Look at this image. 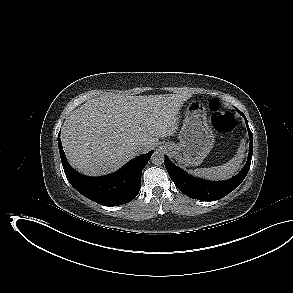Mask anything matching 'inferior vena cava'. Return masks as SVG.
<instances>
[{
  "label": "inferior vena cava",
  "instance_id": "inferior-vena-cava-1",
  "mask_svg": "<svg viewBox=\"0 0 293 293\" xmlns=\"http://www.w3.org/2000/svg\"><path fill=\"white\" fill-rule=\"evenodd\" d=\"M138 149L141 150V146H138Z\"/></svg>",
  "mask_w": 293,
  "mask_h": 293
}]
</instances>
